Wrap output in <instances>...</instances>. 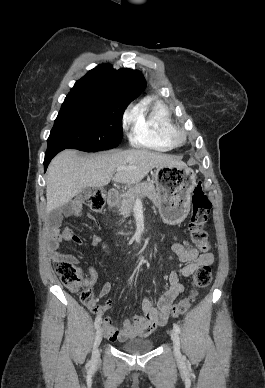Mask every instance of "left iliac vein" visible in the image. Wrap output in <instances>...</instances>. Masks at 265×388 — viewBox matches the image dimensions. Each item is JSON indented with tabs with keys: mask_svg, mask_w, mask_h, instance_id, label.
Wrapping results in <instances>:
<instances>
[{
	"mask_svg": "<svg viewBox=\"0 0 265 388\" xmlns=\"http://www.w3.org/2000/svg\"><path fill=\"white\" fill-rule=\"evenodd\" d=\"M171 339L173 341V349H174V355L177 359L181 358V352H180V338L176 331L171 332Z\"/></svg>",
	"mask_w": 265,
	"mask_h": 388,
	"instance_id": "1",
	"label": "left iliac vein"
}]
</instances>
